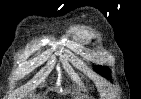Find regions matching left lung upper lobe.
Segmentation results:
<instances>
[{"label":"left lung upper lobe","mask_w":141,"mask_h":99,"mask_svg":"<svg viewBox=\"0 0 141 99\" xmlns=\"http://www.w3.org/2000/svg\"><path fill=\"white\" fill-rule=\"evenodd\" d=\"M94 70L96 72H98L99 74L107 77V78H110V69L108 67H104V66H96L94 68Z\"/></svg>","instance_id":"obj_1"}]
</instances>
